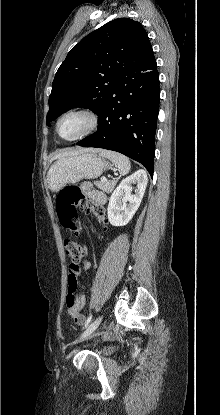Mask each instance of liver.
Instances as JSON below:
<instances>
[{"label": "liver", "instance_id": "liver-1", "mask_svg": "<svg viewBox=\"0 0 220 415\" xmlns=\"http://www.w3.org/2000/svg\"><path fill=\"white\" fill-rule=\"evenodd\" d=\"M81 152L82 151L64 152V153L59 154L57 156V158H63V157H66V156L77 155L78 153H81Z\"/></svg>", "mask_w": 220, "mask_h": 415}]
</instances>
